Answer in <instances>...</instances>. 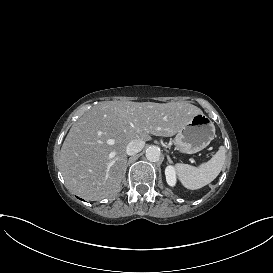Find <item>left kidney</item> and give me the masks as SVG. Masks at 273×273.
Segmentation results:
<instances>
[{
	"label": "left kidney",
	"mask_w": 273,
	"mask_h": 273,
	"mask_svg": "<svg viewBox=\"0 0 273 273\" xmlns=\"http://www.w3.org/2000/svg\"><path fill=\"white\" fill-rule=\"evenodd\" d=\"M165 176L169 186L173 187L176 185V174H175V169L173 166L169 165L166 167Z\"/></svg>",
	"instance_id": "1"
}]
</instances>
